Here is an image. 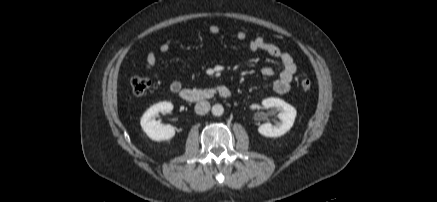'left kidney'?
<instances>
[{"label":"left kidney","mask_w":437,"mask_h":202,"mask_svg":"<svg viewBox=\"0 0 437 202\" xmlns=\"http://www.w3.org/2000/svg\"><path fill=\"white\" fill-rule=\"evenodd\" d=\"M266 109L278 111L280 123L272 125L264 123L258 127V132L265 137H279L288 132L294 124L296 109L279 98H267L262 101Z\"/></svg>","instance_id":"obj_1"}]
</instances>
